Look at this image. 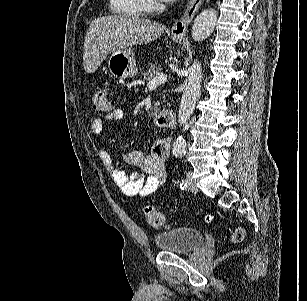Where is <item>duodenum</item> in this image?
Returning a JSON list of instances; mask_svg holds the SVG:
<instances>
[{
    "label": "duodenum",
    "mask_w": 307,
    "mask_h": 301,
    "mask_svg": "<svg viewBox=\"0 0 307 301\" xmlns=\"http://www.w3.org/2000/svg\"><path fill=\"white\" fill-rule=\"evenodd\" d=\"M176 122V115L170 109L160 112L156 117V124L159 127L173 128L176 126Z\"/></svg>",
    "instance_id": "1"
}]
</instances>
